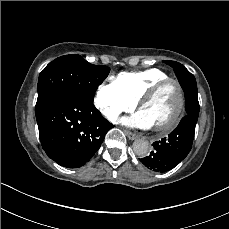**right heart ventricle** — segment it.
I'll list each match as a JSON object with an SVG mask.
<instances>
[{"mask_svg":"<svg viewBox=\"0 0 229 229\" xmlns=\"http://www.w3.org/2000/svg\"><path fill=\"white\" fill-rule=\"evenodd\" d=\"M169 74L157 68L121 72L115 81L128 97L138 102L158 82L169 78Z\"/></svg>","mask_w":229,"mask_h":229,"instance_id":"e07e8e85","label":"right heart ventricle"}]
</instances>
